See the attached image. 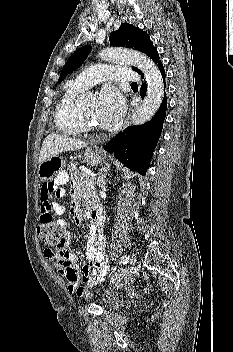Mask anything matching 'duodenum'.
<instances>
[{
  "label": "duodenum",
  "mask_w": 233,
  "mask_h": 352,
  "mask_svg": "<svg viewBox=\"0 0 233 352\" xmlns=\"http://www.w3.org/2000/svg\"><path fill=\"white\" fill-rule=\"evenodd\" d=\"M90 206L93 215H97L100 212V206L96 200H92Z\"/></svg>",
  "instance_id": "1"
}]
</instances>
